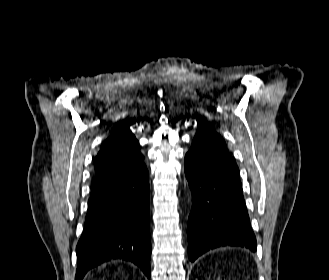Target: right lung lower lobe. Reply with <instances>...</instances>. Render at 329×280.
Masks as SVG:
<instances>
[{
	"instance_id": "right-lung-lower-lobe-1",
	"label": "right lung lower lobe",
	"mask_w": 329,
	"mask_h": 280,
	"mask_svg": "<svg viewBox=\"0 0 329 280\" xmlns=\"http://www.w3.org/2000/svg\"><path fill=\"white\" fill-rule=\"evenodd\" d=\"M75 280L112 259L128 260L150 277L149 182L144 165L95 175Z\"/></svg>"
}]
</instances>
